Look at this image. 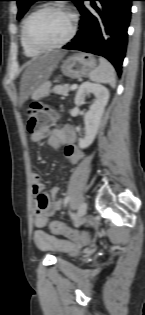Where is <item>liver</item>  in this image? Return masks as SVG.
Segmentation results:
<instances>
[{"mask_svg": "<svg viewBox=\"0 0 145 315\" xmlns=\"http://www.w3.org/2000/svg\"><path fill=\"white\" fill-rule=\"evenodd\" d=\"M64 55L65 52L52 53L27 63L20 83V104H23L38 86L49 79Z\"/></svg>", "mask_w": 145, "mask_h": 315, "instance_id": "6515ba94", "label": "liver"}]
</instances>
